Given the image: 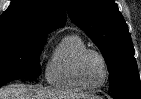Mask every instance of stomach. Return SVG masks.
Returning a JSON list of instances; mask_svg holds the SVG:
<instances>
[{
	"instance_id": "stomach-1",
	"label": "stomach",
	"mask_w": 141,
	"mask_h": 99,
	"mask_svg": "<svg viewBox=\"0 0 141 99\" xmlns=\"http://www.w3.org/2000/svg\"><path fill=\"white\" fill-rule=\"evenodd\" d=\"M84 99H98L96 96H90L88 98H84Z\"/></svg>"
}]
</instances>
